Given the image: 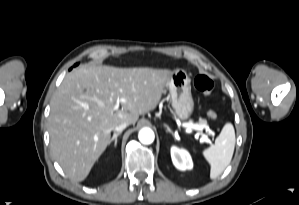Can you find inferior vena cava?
<instances>
[{"label": "inferior vena cava", "mask_w": 299, "mask_h": 205, "mask_svg": "<svg viewBox=\"0 0 299 205\" xmlns=\"http://www.w3.org/2000/svg\"><path fill=\"white\" fill-rule=\"evenodd\" d=\"M128 125H129L128 122H123V123L117 125V126L114 128V130H115V132H122Z\"/></svg>", "instance_id": "inferior-vena-cava-1"}]
</instances>
